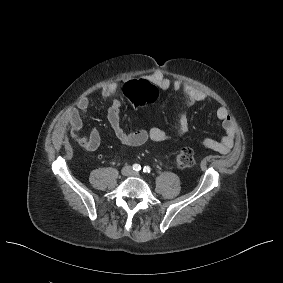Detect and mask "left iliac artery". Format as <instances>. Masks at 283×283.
Instances as JSON below:
<instances>
[{
    "label": "left iliac artery",
    "instance_id": "obj_1",
    "mask_svg": "<svg viewBox=\"0 0 283 283\" xmlns=\"http://www.w3.org/2000/svg\"><path fill=\"white\" fill-rule=\"evenodd\" d=\"M150 171H151V169H150L149 166H145V167L143 168V172H144V173H150Z\"/></svg>",
    "mask_w": 283,
    "mask_h": 283
}]
</instances>
